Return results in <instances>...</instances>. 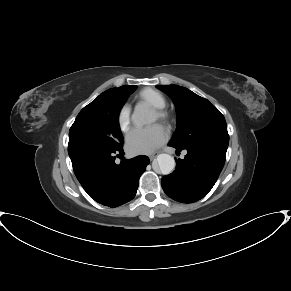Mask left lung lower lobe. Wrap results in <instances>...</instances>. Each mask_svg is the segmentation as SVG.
Wrapping results in <instances>:
<instances>
[{"mask_svg":"<svg viewBox=\"0 0 291 291\" xmlns=\"http://www.w3.org/2000/svg\"><path fill=\"white\" fill-rule=\"evenodd\" d=\"M227 147L225 142H200L185 148L174 147L177 152L186 149L187 154L184 159L176 160V169L171 174L161 179L164 192L182 203L203 198L217 181L225 163Z\"/></svg>","mask_w":291,"mask_h":291,"instance_id":"left-lung-lower-lobe-1","label":"left lung lower lobe"}]
</instances>
